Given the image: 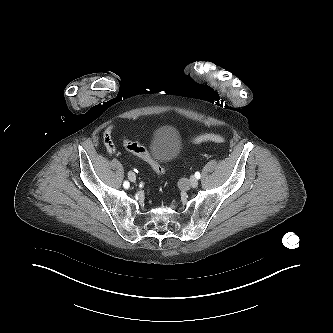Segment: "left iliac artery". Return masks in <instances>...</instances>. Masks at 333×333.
<instances>
[{"label":"left iliac artery","mask_w":333,"mask_h":333,"mask_svg":"<svg viewBox=\"0 0 333 333\" xmlns=\"http://www.w3.org/2000/svg\"><path fill=\"white\" fill-rule=\"evenodd\" d=\"M200 177H201L200 173H199V172H196V173H195V178H196V179H200Z\"/></svg>","instance_id":"44dca946"}]
</instances>
